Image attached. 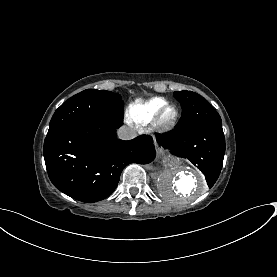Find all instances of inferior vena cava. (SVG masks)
Returning a JSON list of instances; mask_svg holds the SVG:
<instances>
[{
  "instance_id": "1",
  "label": "inferior vena cava",
  "mask_w": 277,
  "mask_h": 277,
  "mask_svg": "<svg viewBox=\"0 0 277 277\" xmlns=\"http://www.w3.org/2000/svg\"><path fill=\"white\" fill-rule=\"evenodd\" d=\"M117 135H118L119 139H122V140H131V139L137 137V131L133 127L121 126L117 130Z\"/></svg>"
}]
</instances>
